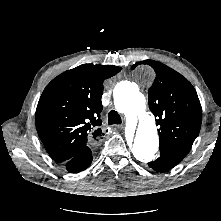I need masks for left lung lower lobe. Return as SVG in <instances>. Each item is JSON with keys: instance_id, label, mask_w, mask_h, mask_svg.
Wrapping results in <instances>:
<instances>
[{"instance_id": "left-lung-lower-lobe-1", "label": "left lung lower lobe", "mask_w": 221, "mask_h": 221, "mask_svg": "<svg viewBox=\"0 0 221 221\" xmlns=\"http://www.w3.org/2000/svg\"><path fill=\"white\" fill-rule=\"evenodd\" d=\"M185 156L175 150L160 148V157L148 165L157 172H164L175 167Z\"/></svg>"}]
</instances>
